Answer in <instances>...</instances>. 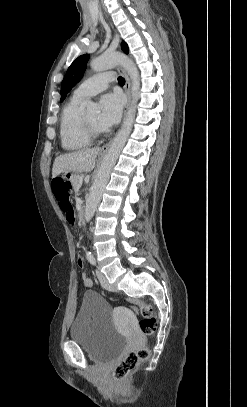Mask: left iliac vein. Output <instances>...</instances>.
<instances>
[{
    "instance_id": "4c4485c4",
    "label": "left iliac vein",
    "mask_w": 247,
    "mask_h": 407,
    "mask_svg": "<svg viewBox=\"0 0 247 407\" xmlns=\"http://www.w3.org/2000/svg\"><path fill=\"white\" fill-rule=\"evenodd\" d=\"M96 275L102 287L108 291H114L115 288L108 282L106 276L99 270H96Z\"/></svg>"
}]
</instances>
